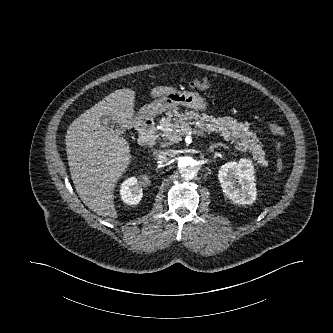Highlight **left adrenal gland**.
Wrapping results in <instances>:
<instances>
[{
  "label": "left adrenal gland",
  "mask_w": 333,
  "mask_h": 333,
  "mask_svg": "<svg viewBox=\"0 0 333 333\" xmlns=\"http://www.w3.org/2000/svg\"><path fill=\"white\" fill-rule=\"evenodd\" d=\"M218 146H221L223 148H228L225 144H222V143H217V144H214L210 147V152H213L214 148L218 147Z\"/></svg>",
  "instance_id": "obj_1"
}]
</instances>
